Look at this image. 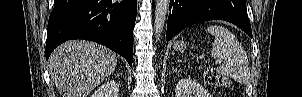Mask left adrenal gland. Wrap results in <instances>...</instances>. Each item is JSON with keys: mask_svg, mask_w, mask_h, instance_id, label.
Segmentation results:
<instances>
[{"mask_svg": "<svg viewBox=\"0 0 302 97\" xmlns=\"http://www.w3.org/2000/svg\"><path fill=\"white\" fill-rule=\"evenodd\" d=\"M178 70L174 68V66H172V70H171V74L177 72Z\"/></svg>", "mask_w": 302, "mask_h": 97, "instance_id": "obj_1", "label": "left adrenal gland"}]
</instances>
